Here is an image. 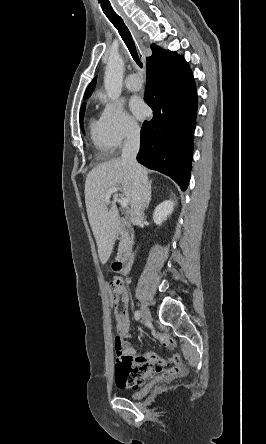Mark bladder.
I'll return each instance as SVG.
<instances>
[{"label":"bladder","instance_id":"obj_1","mask_svg":"<svg viewBox=\"0 0 266 444\" xmlns=\"http://www.w3.org/2000/svg\"><path fill=\"white\" fill-rule=\"evenodd\" d=\"M158 383V380L153 379L151 382H149L148 385H146L143 388L140 389H136L133 390L131 392H129V396L132 398H140L143 397L144 395L148 394L149 392L152 391V389L155 387V385Z\"/></svg>","mask_w":266,"mask_h":444}]
</instances>
